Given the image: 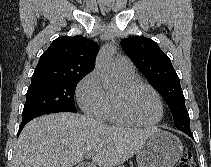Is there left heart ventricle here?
Returning <instances> with one entry per match:
<instances>
[{
    "label": "left heart ventricle",
    "instance_id": "left-heart-ventricle-1",
    "mask_svg": "<svg viewBox=\"0 0 211 167\" xmlns=\"http://www.w3.org/2000/svg\"><path fill=\"white\" fill-rule=\"evenodd\" d=\"M115 95L123 96L126 109L138 121L150 123L158 118L160 113L159 105L150 90L139 88L125 94L122 86Z\"/></svg>",
    "mask_w": 211,
    "mask_h": 167
}]
</instances>
